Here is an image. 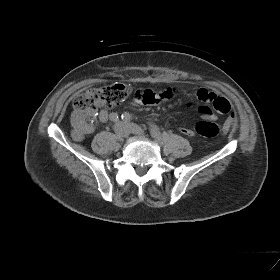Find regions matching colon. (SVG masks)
I'll list each match as a JSON object with an SVG mask.
<instances>
[{
	"mask_svg": "<svg viewBox=\"0 0 280 280\" xmlns=\"http://www.w3.org/2000/svg\"><path fill=\"white\" fill-rule=\"evenodd\" d=\"M130 92V86L121 82L91 88L78 94L74 98L73 105L77 111L85 113L92 121L100 108L119 105L130 95ZM223 131V126L210 120L200 121L195 125V132L204 137H215Z\"/></svg>",
	"mask_w": 280,
	"mask_h": 280,
	"instance_id": "5ec220e1",
	"label": "colon"
}]
</instances>
